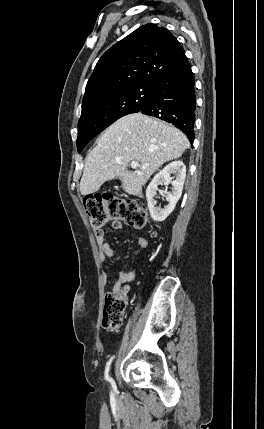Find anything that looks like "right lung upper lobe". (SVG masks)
<instances>
[{
    "label": "right lung upper lobe",
    "instance_id": "obj_1",
    "mask_svg": "<svg viewBox=\"0 0 264 429\" xmlns=\"http://www.w3.org/2000/svg\"><path fill=\"white\" fill-rule=\"evenodd\" d=\"M185 52L164 27L146 24L99 59L86 85L83 104L136 84H156Z\"/></svg>",
    "mask_w": 264,
    "mask_h": 429
}]
</instances>
